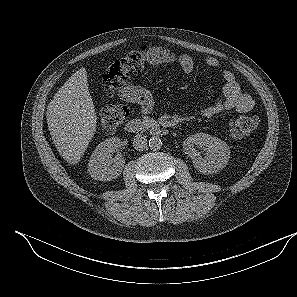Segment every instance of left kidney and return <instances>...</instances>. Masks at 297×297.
<instances>
[{
	"label": "left kidney",
	"instance_id": "obj_1",
	"mask_svg": "<svg viewBox=\"0 0 297 297\" xmlns=\"http://www.w3.org/2000/svg\"><path fill=\"white\" fill-rule=\"evenodd\" d=\"M204 147L205 157L195 148ZM185 154L192 159L194 168L203 174H213L222 170L230 157L229 146L214 136L206 133H196L183 142Z\"/></svg>",
	"mask_w": 297,
	"mask_h": 297
}]
</instances>
